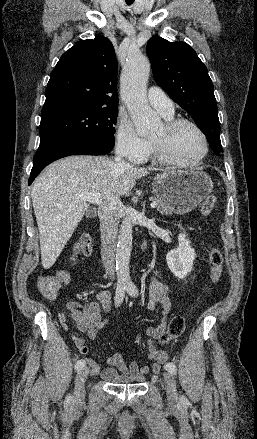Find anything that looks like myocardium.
<instances>
[{"label":"myocardium","mask_w":257,"mask_h":439,"mask_svg":"<svg viewBox=\"0 0 257 439\" xmlns=\"http://www.w3.org/2000/svg\"><path fill=\"white\" fill-rule=\"evenodd\" d=\"M182 126L192 127L199 134V136L201 137V139L203 141V146H204L203 152L195 160L190 161V162H183V161L176 160L170 156L169 152L164 147V145L160 139L152 137L151 142H152V145H153V148H154V151H155L157 158L160 159L161 161L166 162V163H170V164L174 165L175 167H179V168H193V167H196L197 165H199L207 157V155L209 153V149H210L209 141H208V138H207L205 132L201 129V127L191 120L179 118V119L166 120L163 123L164 129L168 133H172Z\"/></svg>","instance_id":"obj_1"}]
</instances>
